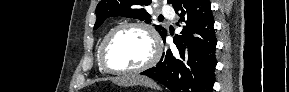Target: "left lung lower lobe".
I'll return each mask as SVG.
<instances>
[{
    "instance_id": "left-lung-lower-lobe-1",
    "label": "left lung lower lobe",
    "mask_w": 289,
    "mask_h": 92,
    "mask_svg": "<svg viewBox=\"0 0 289 92\" xmlns=\"http://www.w3.org/2000/svg\"><path fill=\"white\" fill-rule=\"evenodd\" d=\"M173 8L179 11L180 21L185 24L174 38L176 47L163 53L155 67L141 74L159 81L172 92H212L217 40L211 3L176 0Z\"/></svg>"
}]
</instances>
